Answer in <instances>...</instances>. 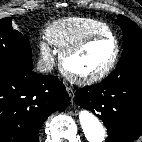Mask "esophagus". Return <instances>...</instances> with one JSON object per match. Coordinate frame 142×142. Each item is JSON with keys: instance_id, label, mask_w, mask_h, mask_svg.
I'll return each instance as SVG.
<instances>
[{"instance_id": "34e87169", "label": "esophagus", "mask_w": 142, "mask_h": 142, "mask_svg": "<svg viewBox=\"0 0 142 142\" xmlns=\"http://www.w3.org/2000/svg\"><path fill=\"white\" fill-rule=\"evenodd\" d=\"M66 91L70 97L71 100L74 99V90L71 87H66Z\"/></svg>"}]
</instances>
